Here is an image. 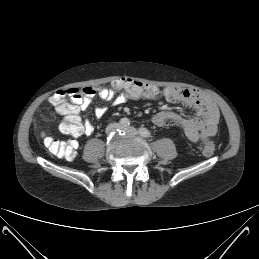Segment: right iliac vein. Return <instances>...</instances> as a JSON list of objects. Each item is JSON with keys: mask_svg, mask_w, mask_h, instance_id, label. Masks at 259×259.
Masks as SVG:
<instances>
[{"mask_svg": "<svg viewBox=\"0 0 259 259\" xmlns=\"http://www.w3.org/2000/svg\"><path fill=\"white\" fill-rule=\"evenodd\" d=\"M120 128V125L118 123H112L110 124L107 128H106V132L107 133H110L116 129H119Z\"/></svg>", "mask_w": 259, "mask_h": 259, "instance_id": "63e3f726", "label": "right iliac vein"}]
</instances>
